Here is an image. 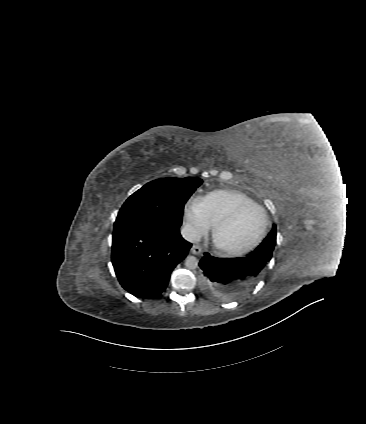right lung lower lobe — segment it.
<instances>
[{
  "instance_id": "98d812e1",
  "label": "right lung lower lobe",
  "mask_w": 366,
  "mask_h": 424,
  "mask_svg": "<svg viewBox=\"0 0 366 424\" xmlns=\"http://www.w3.org/2000/svg\"><path fill=\"white\" fill-rule=\"evenodd\" d=\"M192 244L157 219L115 222L111 261L121 286L139 298L163 292Z\"/></svg>"
}]
</instances>
